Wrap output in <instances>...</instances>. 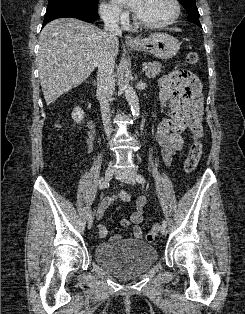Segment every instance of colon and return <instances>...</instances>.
I'll use <instances>...</instances> for the list:
<instances>
[{
	"label": "colon",
	"mask_w": 245,
	"mask_h": 314,
	"mask_svg": "<svg viewBox=\"0 0 245 314\" xmlns=\"http://www.w3.org/2000/svg\"><path fill=\"white\" fill-rule=\"evenodd\" d=\"M186 59L189 64L193 65L199 62L200 57L196 51H190L187 53ZM202 150V143L198 140L191 145V148L184 163L185 172L190 173L197 167L202 155ZM159 230L160 224H153L151 229L146 233L145 240L148 242L154 241L159 233Z\"/></svg>",
	"instance_id": "1"
}]
</instances>
